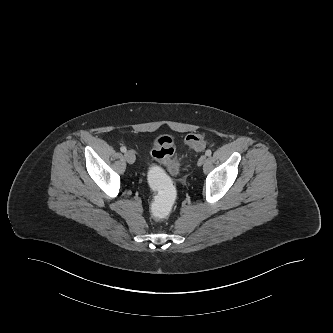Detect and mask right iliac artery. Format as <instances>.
Returning <instances> with one entry per match:
<instances>
[{"mask_svg":"<svg viewBox=\"0 0 333 333\" xmlns=\"http://www.w3.org/2000/svg\"><path fill=\"white\" fill-rule=\"evenodd\" d=\"M120 150H121V152H123V153H124V152H126V150H127V149H126V147H125V146H122V147L120 148Z\"/></svg>","mask_w":333,"mask_h":333,"instance_id":"right-iliac-artery-1","label":"right iliac artery"}]
</instances>
